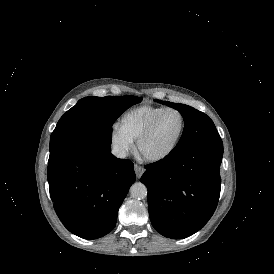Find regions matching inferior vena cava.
I'll return each mask as SVG.
<instances>
[{
    "mask_svg": "<svg viewBox=\"0 0 274 274\" xmlns=\"http://www.w3.org/2000/svg\"><path fill=\"white\" fill-rule=\"evenodd\" d=\"M112 153L117 157V158H125L127 156V151L120 146H116L112 149Z\"/></svg>",
    "mask_w": 274,
    "mask_h": 274,
    "instance_id": "obj_1",
    "label": "inferior vena cava"
}]
</instances>
